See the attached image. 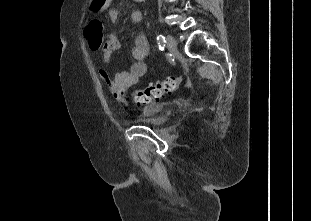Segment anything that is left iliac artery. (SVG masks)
I'll list each match as a JSON object with an SVG mask.
<instances>
[{
	"label": "left iliac artery",
	"mask_w": 311,
	"mask_h": 221,
	"mask_svg": "<svg viewBox=\"0 0 311 221\" xmlns=\"http://www.w3.org/2000/svg\"><path fill=\"white\" fill-rule=\"evenodd\" d=\"M165 37L162 34L157 35V44L160 50H164L165 48Z\"/></svg>",
	"instance_id": "44dca946"
}]
</instances>
